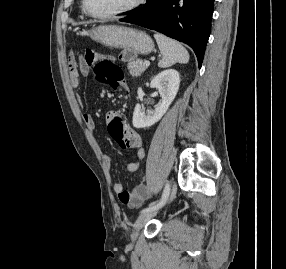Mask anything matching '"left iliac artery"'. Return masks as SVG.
<instances>
[{
    "instance_id": "44dca946",
    "label": "left iliac artery",
    "mask_w": 286,
    "mask_h": 269,
    "mask_svg": "<svg viewBox=\"0 0 286 269\" xmlns=\"http://www.w3.org/2000/svg\"><path fill=\"white\" fill-rule=\"evenodd\" d=\"M169 193H170V185L169 183H166L160 201L158 203H151L147 208L143 209L141 212L155 210V209L162 207L166 203Z\"/></svg>"
}]
</instances>
